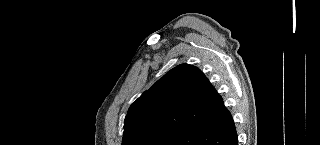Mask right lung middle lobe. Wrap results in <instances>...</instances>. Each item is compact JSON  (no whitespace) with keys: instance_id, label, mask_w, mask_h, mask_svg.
<instances>
[{"instance_id":"right-lung-middle-lobe-1","label":"right lung middle lobe","mask_w":320,"mask_h":145,"mask_svg":"<svg viewBox=\"0 0 320 145\" xmlns=\"http://www.w3.org/2000/svg\"><path fill=\"white\" fill-rule=\"evenodd\" d=\"M178 133L179 131L176 130H168L153 133L144 137L135 145H167V143Z\"/></svg>"}]
</instances>
